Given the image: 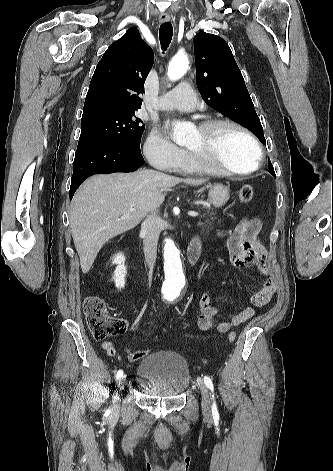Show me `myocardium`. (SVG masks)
<instances>
[{"label": "myocardium", "instance_id": "obj_1", "mask_svg": "<svg viewBox=\"0 0 333 471\" xmlns=\"http://www.w3.org/2000/svg\"><path fill=\"white\" fill-rule=\"evenodd\" d=\"M219 127H232L240 131L241 133H243L252 142L256 150L255 165L252 168L243 170V171L233 170V169L227 168L223 165L216 163L209 155V152L207 149H205L204 151L196 152L187 148V153H188V157L190 161L193 164L197 165L198 167H201L209 171L210 173H214V174L243 176V175L251 174L255 172L256 170H258V168L261 165L262 158H263V150L258 139L255 137V135L244 125L231 119H209V120H205L201 122L198 125L197 129L206 138H208V136Z\"/></svg>", "mask_w": 333, "mask_h": 471}]
</instances>
